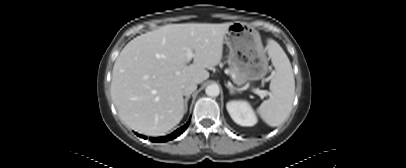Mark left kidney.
Segmentation results:
<instances>
[{
  "label": "left kidney",
  "mask_w": 406,
  "mask_h": 168,
  "mask_svg": "<svg viewBox=\"0 0 406 168\" xmlns=\"http://www.w3.org/2000/svg\"><path fill=\"white\" fill-rule=\"evenodd\" d=\"M226 108L233 121L241 126H253L257 123V117L246 101H230Z\"/></svg>",
  "instance_id": "left-kidney-1"
}]
</instances>
